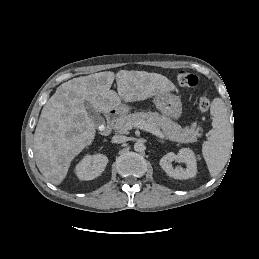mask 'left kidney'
<instances>
[{"mask_svg":"<svg viewBox=\"0 0 259 259\" xmlns=\"http://www.w3.org/2000/svg\"><path fill=\"white\" fill-rule=\"evenodd\" d=\"M185 163L186 168L173 167L172 162ZM160 166L168 176L175 179H189L197 174V163L194 152L189 148H182L178 154L169 152L160 159Z\"/></svg>","mask_w":259,"mask_h":259,"instance_id":"1","label":"left kidney"}]
</instances>
